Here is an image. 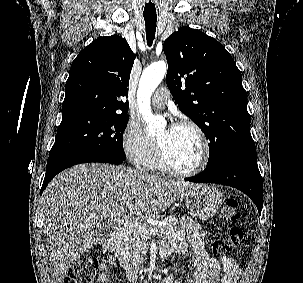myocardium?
Here are the masks:
<instances>
[{
	"label": "myocardium",
	"mask_w": 303,
	"mask_h": 283,
	"mask_svg": "<svg viewBox=\"0 0 303 283\" xmlns=\"http://www.w3.org/2000/svg\"><path fill=\"white\" fill-rule=\"evenodd\" d=\"M174 126L189 127L195 131L201 143V160L199 164L190 170H180L171 166L165 158L163 150L157 143L156 160L159 168L164 172L177 177H192L201 173L208 165L210 159V143L203 129L194 121L180 120Z\"/></svg>",
	"instance_id": "f54148a6"
}]
</instances>
